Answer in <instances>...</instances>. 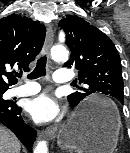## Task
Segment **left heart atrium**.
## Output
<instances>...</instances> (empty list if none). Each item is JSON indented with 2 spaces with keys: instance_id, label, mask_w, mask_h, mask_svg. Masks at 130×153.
<instances>
[{
  "instance_id": "39dd6f15",
  "label": "left heart atrium",
  "mask_w": 130,
  "mask_h": 153,
  "mask_svg": "<svg viewBox=\"0 0 130 153\" xmlns=\"http://www.w3.org/2000/svg\"><path fill=\"white\" fill-rule=\"evenodd\" d=\"M27 111L34 120L48 122L58 116L60 107L53 96L43 93L28 102Z\"/></svg>"
}]
</instances>
